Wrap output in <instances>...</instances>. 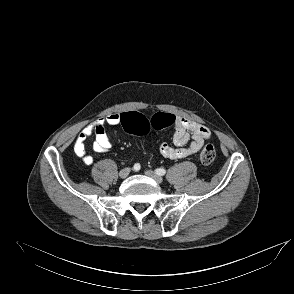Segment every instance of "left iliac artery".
Listing matches in <instances>:
<instances>
[{"label": "left iliac artery", "instance_id": "44dca946", "mask_svg": "<svg viewBox=\"0 0 294 294\" xmlns=\"http://www.w3.org/2000/svg\"><path fill=\"white\" fill-rule=\"evenodd\" d=\"M155 172H156L157 175L162 176V175H165L166 170L163 169V168H158V169L155 170Z\"/></svg>", "mask_w": 294, "mask_h": 294}]
</instances>
